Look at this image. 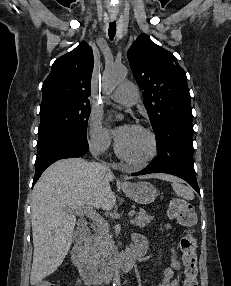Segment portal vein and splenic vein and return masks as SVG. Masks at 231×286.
<instances>
[{"instance_id": "obj_1", "label": "portal vein and splenic vein", "mask_w": 231, "mask_h": 286, "mask_svg": "<svg viewBox=\"0 0 231 286\" xmlns=\"http://www.w3.org/2000/svg\"><path fill=\"white\" fill-rule=\"evenodd\" d=\"M75 213L78 215H85L89 217L98 228L108 227V222L99 214H97L96 211L91 206L75 209ZM134 214L135 211L131 210L128 213V216L132 217Z\"/></svg>"}]
</instances>
